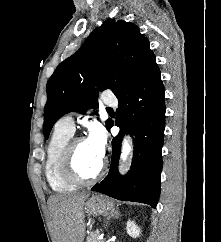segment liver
Wrapping results in <instances>:
<instances>
[{
    "instance_id": "obj_1",
    "label": "liver",
    "mask_w": 221,
    "mask_h": 242,
    "mask_svg": "<svg viewBox=\"0 0 221 242\" xmlns=\"http://www.w3.org/2000/svg\"><path fill=\"white\" fill-rule=\"evenodd\" d=\"M90 193L53 195L48 200L52 218L53 242H83L84 202Z\"/></svg>"
}]
</instances>
